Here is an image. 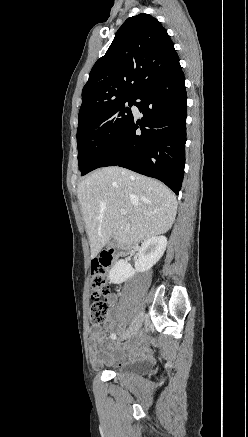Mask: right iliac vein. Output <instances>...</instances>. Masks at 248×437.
I'll use <instances>...</instances> for the list:
<instances>
[{
	"label": "right iliac vein",
	"mask_w": 248,
	"mask_h": 437,
	"mask_svg": "<svg viewBox=\"0 0 248 437\" xmlns=\"http://www.w3.org/2000/svg\"><path fill=\"white\" fill-rule=\"evenodd\" d=\"M143 322V313H140L138 315V317L135 319V321L133 322L130 331L128 334L122 335L119 342L122 340L127 339L128 337H130L131 335H133L134 333H136L138 331V329L141 327Z\"/></svg>",
	"instance_id": "1"
}]
</instances>
